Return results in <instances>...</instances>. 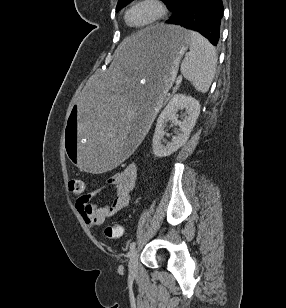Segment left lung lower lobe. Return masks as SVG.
<instances>
[{
	"mask_svg": "<svg viewBox=\"0 0 286 308\" xmlns=\"http://www.w3.org/2000/svg\"><path fill=\"white\" fill-rule=\"evenodd\" d=\"M169 10L172 16L166 20L167 24L195 30L217 45L223 15L222 0H173Z\"/></svg>",
	"mask_w": 286,
	"mask_h": 308,
	"instance_id": "left-lung-lower-lobe-1",
	"label": "left lung lower lobe"
}]
</instances>
